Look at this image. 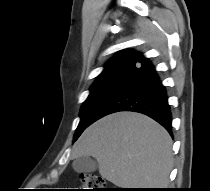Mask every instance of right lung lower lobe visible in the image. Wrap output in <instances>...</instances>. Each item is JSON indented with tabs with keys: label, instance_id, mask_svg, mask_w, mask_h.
Listing matches in <instances>:
<instances>
[{
	"label": "right lung lower lobe",
	"instance_id": "1",
	"mask_svg": "<svg viewBox=\"0 0 210 191\" xmlns=\"http://www.w3.org/2000/svg\"><path fill=\"white\" fill-rule=\"evenodd\" d=\"M143 113L160 123L170 134L172 114L165 87L152 64L136 53L95 113V121L118 112Z\"/></svg>",
	"mask_w": 210,
	"mask_h": 191
}]
</instances>
